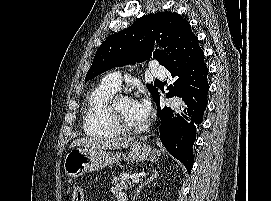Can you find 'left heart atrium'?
<instances>
[{
    "mask_svg": "<svg viewBox=\"0 0 271 201\" xmlns=\"http://www.w3.org/2000/svg\"><path fill=\"white\" fill-rule=\"evenodd\" d=\"M128 99L136 116L146 120L151 111V104L149 100L143 95L141 91H138Z\"/></svg>",
    "mask_w": 271,
    "mask_h": 201,
    "instance_id": "1",
    "label": "left heart atrium"
}]
</instances>
